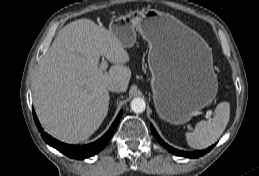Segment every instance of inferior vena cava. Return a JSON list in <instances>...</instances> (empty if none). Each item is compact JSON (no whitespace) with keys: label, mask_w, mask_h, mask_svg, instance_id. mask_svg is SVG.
Segmentation results:
<instances>
[{"label":"inferior vena cava","mask_w":259,"mask_h":176,"mask_svg":"<svg viewBox=\"0 0 259 176\" xmlns=\"http://www.w3.org/2000/svg\"><path fill=\"white\" fill-rule=\"evenodd\" d=\"M108 90L109 91H113V92H119L120 91V87L118 84L116 83H112L108 86Z\"/></svg>","instance_id":"602c4592"}]
</instances>
